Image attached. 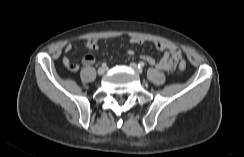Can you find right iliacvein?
<instances>
[{
    "instance_id": "1",
    "label": "right iliac vein",
    "mask_w": 244,
    "mask_h": 157,
    "mask_svg": "<svg viewBox=\"0 0 244 157\" xmlns=\"http://www.w3.org/2000/svg\"><path fill=\"white\" fill-rule=\"evenodd\" d=\"M105 71H106L105 67H100L97 70V72H98L99 75H103L105 73Z\"/></svg>"
}]
</instances>
